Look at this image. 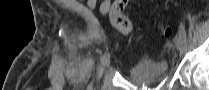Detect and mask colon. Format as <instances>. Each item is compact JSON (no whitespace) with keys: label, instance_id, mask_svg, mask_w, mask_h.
I'll use <instances>...</instances> for the list:
<instances>
[{"label":"colon","instance_id":"colon-1","mask_svg":"<svg viewBox=\"0 0 209 90\" xmlns=\"http://www.w3.org/2000/svg\"><path fill=\"white\" fill-rule=\"evenodd\" d=\"M126 4H127V0L114 1L111 8V19L113 25L119 31H121L125 35H129L132 31V25L130 20L123 14ZM158 26L164 36L170 37L172 35V31L170 28L164 27L160 24Z\"/></svg>","mask_w":209,"mask_h":90}]
</instances>
